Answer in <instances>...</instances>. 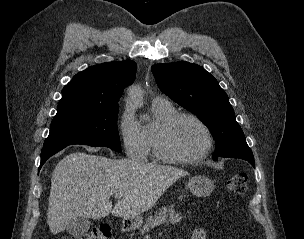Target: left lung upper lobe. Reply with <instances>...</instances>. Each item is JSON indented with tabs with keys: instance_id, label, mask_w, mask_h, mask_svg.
Segmentation results:
<instances>
[{
	"instance_id": "1",
	"label": "left lung upper lobe",
	"mask_w": 304,
	"mask_h": 239,
	"mask_svg": "<svg viewBox=\"0 0 304 239\" xmlns=\"http://www.w3.org/2000/svg\"><path fill=\"white\" fill-rule=\"evenodd\" d=\"M152 72L160 90L196 114L210 129L218 156L254 160L225 91L203 67L185 61L155 64Z\"/></svg>"
}]
</instances>
